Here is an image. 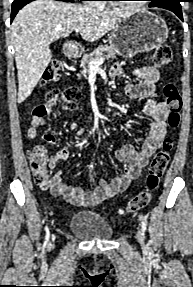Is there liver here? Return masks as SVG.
<instances>
[{
	"label": "liver",
	"mask_w": 193,
	"mask_h": 287,
	"mask_svg": "<svg viewBox=\"0 0 193 287\" xmlns=\"http://www.w3.org/2000/svg\"><path fill=\"white\" fill-rule=\"evenodd\" d=\"M131 14L54 0H36L23 7L11 26L18 103L30 96L50 63L52 42L68 37L79 26L83 39L97 41Z\"/></svg>",
	"instance_id": "liver-1"
}]
</instances>
